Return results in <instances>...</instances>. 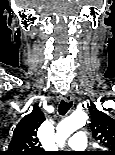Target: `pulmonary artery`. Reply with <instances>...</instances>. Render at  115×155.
I'll use <instances>...</instances> for the list:
<instances>
[{
  "mask_svg": "<svg viewBox=\"0 0 115 155\" xmlns=\"http://www.w3.org/2000/svg\"><path fill=\"white\" fill-rule=\"evenodd\" d=\"M67 145L73 150H83L87 146V136L84 132L78 131L74 133L69 140Z\"/></svg>",
  "mask_w": 115,
  "mask_h": 155,
  "instance_id": "1",
  "label": "pulmonary artery"
}]
</instances>
